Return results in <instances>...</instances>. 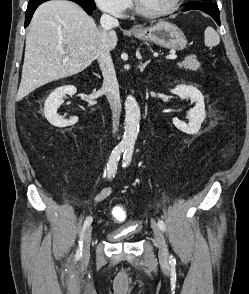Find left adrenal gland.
<instances>
[{"mask_svg":"<svg viewBox=\"0 0 249 294\" xmlns=\"http://www.w3.org/2000/svg\"><path fill=\"white\" fill-rule=\"evenodd\" d=\"M150 62V60L146 61L145 63L140 62V71L143 72L145 67L148 65V63Z\"/></svg>","mask_w":249,"mask_h":294,"instance_id":"left-adrenal-gland-1","label":"left adrenal gland"}]
</instances>
